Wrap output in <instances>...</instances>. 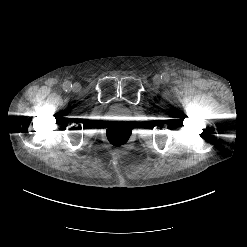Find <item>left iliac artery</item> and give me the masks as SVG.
Here are the masks:
<instances>
[{
	"label": "left iliac artery",
	"mask_w": 247,
	"mask_h": 247,
	"mask_svg": "<svg viewBox=\"0 0 247 247\" xmlns=\"http://www.w3.org/2000/svg\"><path fill=\"white\" fill-rule=\"evenodd\" d=\"M161 77H162V79L164 81H168L169 80V76L167 74H163V76H161Z\"/></svg>",
	"instance_id": "left-iliac-artery-1"
}]
</instances>
